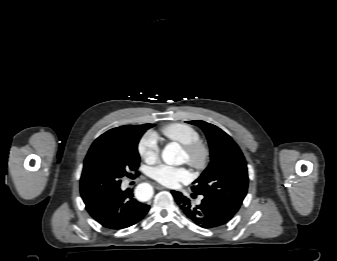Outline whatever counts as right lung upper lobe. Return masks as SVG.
Instances as JSON below:
<instances>
[{
    "mask_svg": "<svg viewBox=\"0 0 337 261\" xmlns=\"http://www.w3.org/2000/svg\"><path fill=\"white\" fill-rule=\"evenodd\" d=\"M153 124H144V125H125L117 128H113L101 136H110V135H119L127 132H132V131H142V130H147L152 126Z\"/></svg>",
    "mask_w": 337,
    "mask_h": 261,
    "instance_id": "cb5924a9",
    "label": "right lung upper lobe"
}]
</instances>
